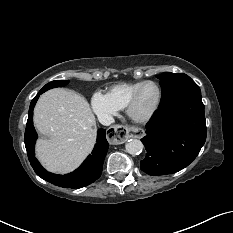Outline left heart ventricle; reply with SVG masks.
<instances>
[{
    "label": "left heart ventricle",
    "instance_id": "left-heart-ventricle-1",
    "mask_svg": "<svg viewBox=\"0 0 233 233\" xmlns=\"http://www.w3.org/2000/svg\"><path fill=\"white\" fill-rule=\"evenodd\" d=\"M158 91L154 85L145 86L139 96L136 112L138 114H145L149 112L157 102Z\"/></svg>",
    "mask_w": 233,
    "mask_h": 233
}]
</instances>
